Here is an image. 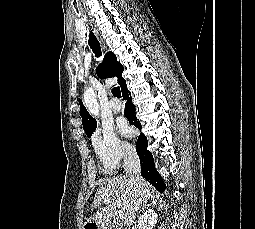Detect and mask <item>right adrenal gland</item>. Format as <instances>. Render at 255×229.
<instances>
[{"label":"right adrenal gland","mask_w":255,"mask_h":229,"mask_svg":"<svg viewBox=\"0 0 255 229\" xmlns=\"http://www.w3.org/2000/svg\"><path fill=\"white\" fill-rule=\"evenodd\" d=\"M156 204H157V200H156L155 197H154V198H152L151 203H150V204H147L146 206H144V207L138 212V214H140L141 212H143L144 209H148L149 207L155 206Z\"/></svg>","instance_id":"obj_1"}]
</instances>
